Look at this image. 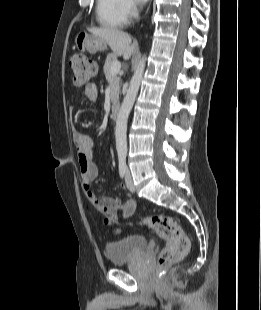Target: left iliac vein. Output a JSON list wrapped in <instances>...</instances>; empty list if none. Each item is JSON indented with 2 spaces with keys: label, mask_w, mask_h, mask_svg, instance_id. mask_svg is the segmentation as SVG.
<instances>
[{
  "label": "left iliac vein",
  "mask_w": 261,
  "mask_h": 310,
  "mask_svg": "<svg viewBox=\"0 0 261 310\" xmlns=\"http://www.w3.org/2000/svg\"><path fill=\"white\" fill-rule=\"evenodd\" d=\"M125 183L127 188L131 191L134 192L135 191V186L133 184V180L131 177V172L130 169L128 167H126V177H125Z\"/></svg>",
  "instance_id": "1"
}]
</instances>
